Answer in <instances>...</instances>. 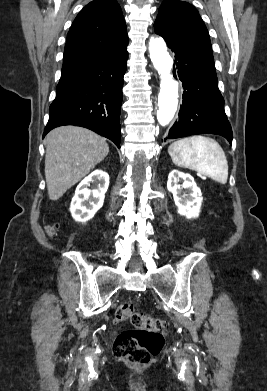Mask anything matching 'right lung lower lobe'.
Here are the masks:
<instances>
[{
  "label": "right lung lower lobe",
  "instance_id": "obj_1",
  "mask_svg": "<svg viewBox=\"0 0 267 391\" xmlns=\"http://www.w3.org/2000/svg\"><path fill=\"white\" fill-rule=\"evenodd\" d=\"M126 48L62 71L43 137L53 128L75 125L111 139L120 148Z\"/></svg>",
  "mask_w": 267,
  "mask_h": 391
}]
</instances>
